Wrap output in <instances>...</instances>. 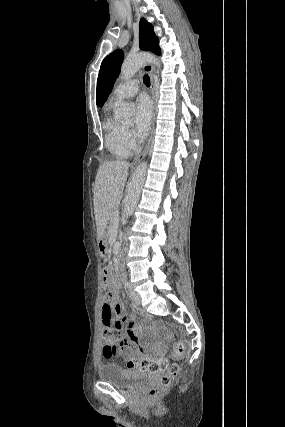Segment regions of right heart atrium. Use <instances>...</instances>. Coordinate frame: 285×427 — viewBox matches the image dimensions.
I'll use <instances>...</instances> for the list:
<instances>
[{
    "label": "right heart atrium",
    "mask_w": 285,
    "mask_h": 427,
    "mask_svg": "<svg viewBox=\"0 0 285 427\" xmlns=\"http://www.w3.org/2000/svg\"><path fill=\"white\" fill-rule=\"evenodd\" d=\"M125 139L132 148L136 146L135 137L133 135V132L129 128H126L125 130Z\"/></svg>",
    "instance_id": "1"
}]
</instances>
